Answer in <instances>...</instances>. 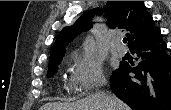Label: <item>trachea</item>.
I'll list each match as a JSON object with an SVG mask.
<instances>
[{
    "instance_id": "trachea-1",
    "label": "trachea",
    "mask_w": 171,
    "mask_h": 110,
    "mask_svg": "<svg viewBox=\"0 0 171 110\" xmlns=\"http://www.w3.org/2000/svg\"><path fill=\"white\" fill-rule=\"evenodd\" d=\"M127 42V38H123V43H126Z\"/></svg>"
}]
</instances>
